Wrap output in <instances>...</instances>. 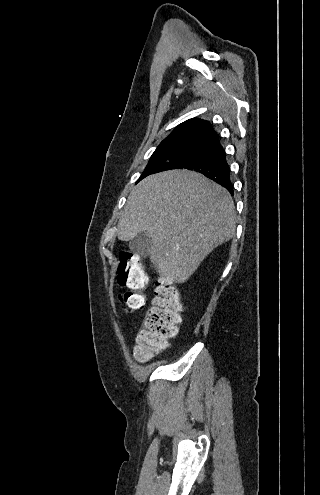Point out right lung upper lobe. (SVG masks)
<instances>
[{
	"mask_svg": "<svg viewBox=\"0 0 320 495\" xmlns=\"http://www.w3.org/2000/svg\"><path fill=\"white\" fill-rule=\"evenodd\" d=\"M216 135L208 121L192 118L179 124L161 144L187 139L209 141Z\"/></svg>",
	"mask_w": 320,
	"mask_h": 495,
	"instance_id": "cb5924a9",
	"label": "right lung upper lobe"
}]
</instances>
